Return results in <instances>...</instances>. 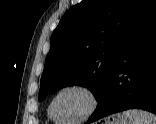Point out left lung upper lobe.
<instances>
[{"mask_svg": "<svg viewBox=\"0 0 156 124\" xmlns=\"http://www.w3.org/2000/svg\"><path fill=\"white\" fill-rule=\"evenodd\" d=\"M156 0H82L61 18L41 77L39 101L56 90L82 85L98 100L129 40Z\"/></svg>", "mask_w": 156, "mask_h": 124, "instance_id": "5c2ea615", "label": "left lung upper lobe"}]
</instances>
